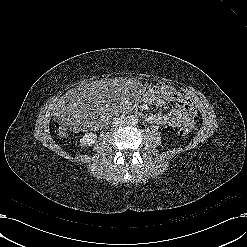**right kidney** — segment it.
<instances>
[{"mask_svg":"<svg viewBox=\"0 0 247 247\" xmlns=\"http://www.w3.org/2000/svg\"><path fill=\"white\" fill-rule=\"evenodd\" d=\"M97 135L94 133H86L81 139V146L91 145L95 142Z\"/></svg>","mask_w":247,"mask_h":247,"instance_id":"ca27d5eb","label":"right kidney"}]
</instances>
